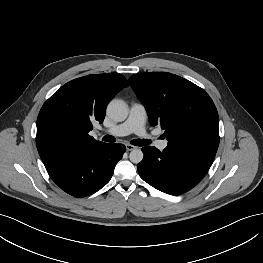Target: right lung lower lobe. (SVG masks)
Segmentation results:
<instances>
[{
    "instance_id": "right-lung-lower-lobe-1",
    "label": "right lung lower lobe",
    "mask_w": 263,
    "mask_h": 263,
    "mask_svg": "<svg viewBox=\"0 0 263 263\" xmlns=\"http://www.w3.org/2000/svg\"><path fill=\"white\" fill-rule=\"evenodd\" d=\"M123 144H101L82 150L57 170L49 173L66 193L75 197L91 195L111 179L115 165L122 158Z\"/></svg>"
}]
</instances>
